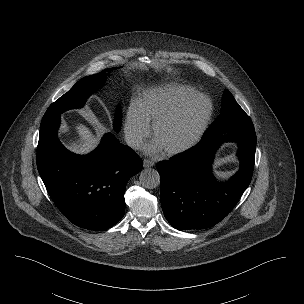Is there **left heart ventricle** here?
Instances as JSON below:
<instances>
[{
	"label": "left heart ventricle",
	"instance_id": "obj_1",
	"mask_svg": "<svg viewBox=\"0 0 304 304\" xmlns=\"http://www.w3.org/2000/svg\"><path fill=\"white\" fill-rule=\"evenodd\" d=\"M205 111L203 102L190 104L180 115L161 126L155 140L164 150L185 143L198 129Z\"/></svg>",
	"mask_w": 304,
	"mask_h": 304
}]
</instances>
